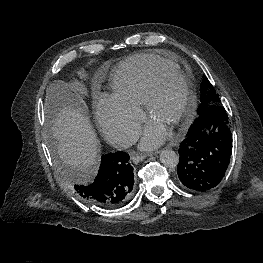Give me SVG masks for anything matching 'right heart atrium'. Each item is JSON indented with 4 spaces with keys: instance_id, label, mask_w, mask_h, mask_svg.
Wrapping results in <instances>:
<instances>
[{
    "instance_id": "d8ad5b80",
    "label": "right heart atrium",
    "mask_w": 263,
    "mask_h": 263,
    "mask_svg": "<svg viewBox=\"0 0 263 263\" xmlns=\"http://www.w3.org/2000/svg\"><path fill=\"white\" fill-rule=\"evenodd\" d=\"M95 112L104 134L121 145H128L134 140L143 118L138 108L108 94L98 99Z\"/></svg>"
}]
</instances>
